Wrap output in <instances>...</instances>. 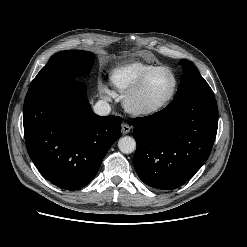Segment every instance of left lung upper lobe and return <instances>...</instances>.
<instances>
[{"instance_id": "5c2ea615", "label": "left lung upper lobe", "mask_w": 247, "mask_h": 247, "mask_svg": "<svg viewBox=\"0 0 247 247\" xmlns=\"http://www.w3.org/2000/svg\"><path fill=\"white\" fill-rule=\"evenodd\" d=\"M179 64L183 68V75L176 97L193 91L212 92L210 86L192 62L184 59Z\"/></svg>"}]
</instances>
